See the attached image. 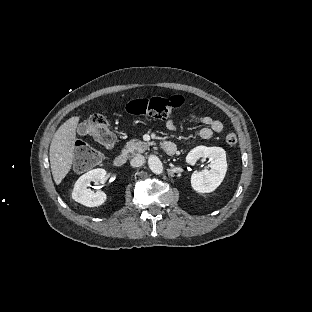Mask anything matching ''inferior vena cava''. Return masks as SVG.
Instances as JSON below:
<instances>
[{
	"label": "inferior vena cava",
	"mask_w": 312,
	"mask_h": 312,
	"mask_svg": "<svg viewBox=\"0 0 312 312\" xmlns=\"http://www.w3.org/2000/svg\"><path fill=\"white\" fill-rule=\"evenodd\" d=\"M144 163V157L142 155H137L130 161L132 167L142 166Z\"/></svg>",
	"instance_id": "obj_1"
}]
</instances>
